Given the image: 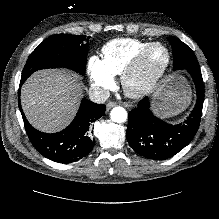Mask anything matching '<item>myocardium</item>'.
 Returning a JSON list of instances; mask_svg holds the SVG:
<instances>
[{"label": "myocardium", "mask_w": 219, "mask_h": 219, "mask_svg": "<svg viewBox=\"0 0 219 219\" xmlns=\"http://www.w3.org/2000/svg\"><path fill=\"white\" fill-rule=\"evenodd\" d=\"M156 49L164 53L163 62L145 79L138 80L142 66L148 56ZM171 63V55L168 48L159 42H152L145 50L139 53L131 63L124 69L121 83L125 93L132 98H141L149 94L164 76Z\"/></svg>", "instance_id": "myocardium-1"}]
</instances>
